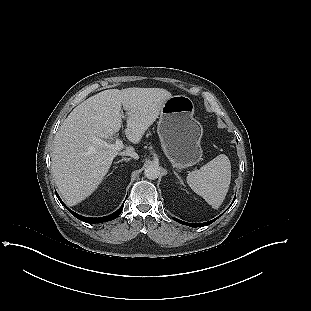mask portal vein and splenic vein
<instances>
[{
    "label": "portal vein and splenic vein",
    "mask_w": 311,
    "mask_h": 311,
    "mask_svg": "<svg viewBox=\"0 0 311 311\" xmlns=\"http://www.w3.org/2000/svg\"><path fill=\"white\" fill-rule=\"evenodd\" d=\"M100 143L106 147L114 150H121L123 148V142L120 138H117L114 144L107 143L106 141L100 140Z\"/></svg>",
    "instance_id": "1"
}]
</instances>
